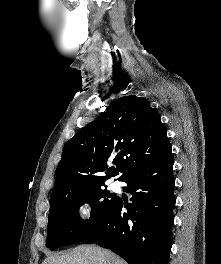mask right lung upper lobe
Instances as JSON below:
<instances>
[{"instance_id": "right-lung-upper-lobe-1", "label": "right lung upper lobe", "mask_w": 221, "mask_h": 264, "mask_svg": "<svg viewBox=\"0 0 221 264\" xmlns=\"http://www.w3.org/2000/svg\"><path fill=\"white\" fill-rule=\"evenodd\" d=\"M169 154L170 142L158 112L143 98L121 97L66 143L50 208L68 195L104 186L111 177L119 175L122 181Z\"/></svg>"}]
</instances>
